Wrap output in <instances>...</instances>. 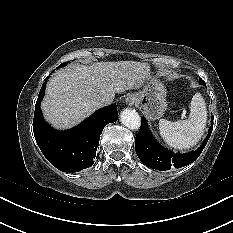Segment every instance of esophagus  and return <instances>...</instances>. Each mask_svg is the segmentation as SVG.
<instances>
[{
  "instance_id": "obj_1",
  "label": "esophagus",
  "mask_w": 233,
  "mask_h": 233,
  "mask_svg": "<svg viewBox=\"0 0 233 233\" xmlns=\"http://www.w3.org/2000/svg\"><path fill=\"white\" fill-rule=\"evenodd\" d=\"M126 102H127L129 105H131V104L134 103V98L129 97V98L126 99Z\"/></svg>"
}]
</instances>
